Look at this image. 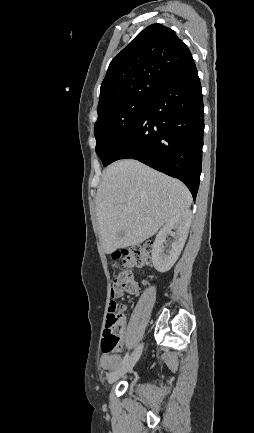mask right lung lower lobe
Masks as SVG:
<instances>
[{
    "instance_id": "1",
    "label": "right lung lower lobe",
    "mask_w": 254,
    "mask_h": 433,
    "mask_svg": "<svg viewBox=\"0 0 254 433\" xmlns=\"http://www.w3.org/2000/svg\"><path fill=\"white\" fill-rule=\"evenodd\" d=\"M204 133L201 84L194 61L167 80L115 149L110 163L132 158L199 187ZM109 163V164H110Z\"/></svg>"
}]
</instances>
